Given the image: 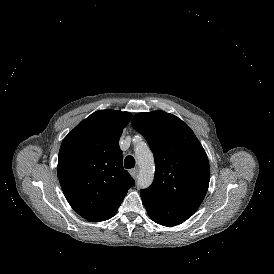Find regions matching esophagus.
Listing matches in <instances>:
<instances>
[{"mask_svg": "<svg viewBox=\"0 0 274 274\" xmlns=\"http://www.w3.org/2000/svg\"><path fill=\"white\" fill-rule=\"evenodd\" d=\"M130 174L133 178L136 179L138 177V169L137 168L131 169Z\"/></svg>", "mask_w": 274, "mask_h": 274, "instance_id": "esophagus-1", "label": "esophagus"}]
</instances>
